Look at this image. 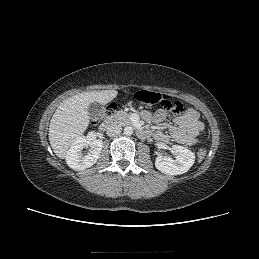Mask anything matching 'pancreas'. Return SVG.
I'll use <instances>...</instances> for the list:
<instances>
[{"mask_svg": "<svg viewBox=\"0 0 259 259\" xmlns=\"http://www.w3.org/2000/svg\"><path fill=\"white\" fill-rule=\"evenodd\" d=\"M111 120H114L121 125L129 124L130 119H129V114H127L124 111H118L114 115L111 116Z\"/></svg>", "mask_w": 259, "mask_h": 259, "instance_id": "pancreas-1", "label": "pancreas"}]
</instances>
